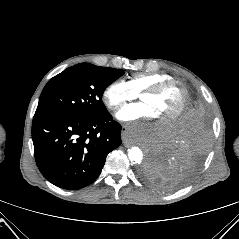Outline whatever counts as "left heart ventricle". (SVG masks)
Returning <instances> with one entry per match:
<instances>
[{
    "label": "left heart ventricle",
    "mask_w": 239,
    "mask_h": 239,
    "mask_svg": "<svg viewBox=\"0 0 239 239\" xmlns=\"http://www.w3.org/2000/svg\"><path fill=\"white\" fill-rule=\"evenodd\" d=\"M141 101L152 110L154 117L163 120L173 113L180 105L181 93L177 87L171 86L156 95H143Z\"/></svg>",
    "instance_id": "b2bd125f"
}]
</instances>
